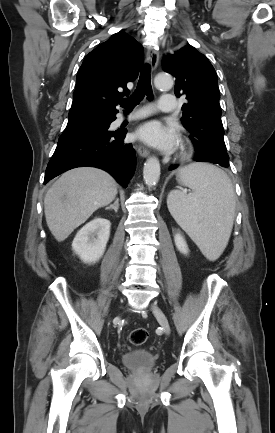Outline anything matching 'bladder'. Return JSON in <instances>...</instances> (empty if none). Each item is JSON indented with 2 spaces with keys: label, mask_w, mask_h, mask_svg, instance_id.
I'll use <instances>...</instances> for the list:
<instances>
[{
  "label": "bladder",
  "mask_w": 275,
  "mask_h": 433,
  "mask_svg": "<svg viewBox=\"0 0 275 433\" xmlns=\"http://www.w3.org/2000/svg\"><path fill=\"white\" fill-rule=\"evenodd\" d=\"M123 365L132 370L151 369L156 363V357L147 349H135L122 355Z\"/></svg>",
  "instance_id": "31cf9c89"
}]
</instances>
